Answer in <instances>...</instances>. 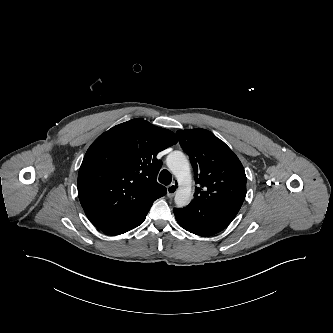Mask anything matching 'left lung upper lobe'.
Returning <instances> with one entry per match:
<instances>
[{"label":"left lung upper lobe","mask_w":333,"mask_h":333,"mask_svg":"<svg viewBox=\"0 0 333 333\" xmlns=\"http://www.w3.org/2000/svg\"><path fill=\"white\" fill-rule=\"evenodd\" d=\"M177 136L197 173L194 201L225 194L246 195V175L235 153L205 129L179 130Z\"/></svg>","instance_id":"left-lung-upper-lobe-1"}]
</instances>
